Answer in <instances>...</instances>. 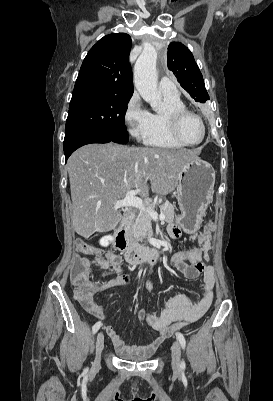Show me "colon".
I'll return each mask as SVG.
<instances>
[{
    "instance_id": "colon-1",
    "label": "colon",
    "mask_w": 273,
    "mask_h": 401,
    "mask_svg": "<svg viewBox=\"0 0 273 401\" xmlns=\"http://www.w3.org/2000/svg\"><path fill=\"white\" fill-rule=\"evenodd\" d=\"M82 256L86 255L85 251L81 252ZM93 269V262L87 261L86 257H74L71 263L70 273L72 278L69 280L70 287H73V292L76 297H88L90 293H100L102 286L94 284L93 278H89L88 270ZM146 291H152V284L145 285Z\"/></svg>"
}]
</instances>
